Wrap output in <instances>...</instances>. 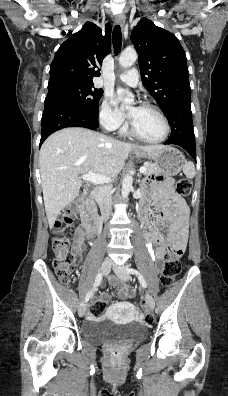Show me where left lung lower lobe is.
Returning a JSON list of instances; mask_svg holds the SVG:
<instances>
[{
  "mask_svg": "<svg viewBox=\"0 0 228 396\" xmlns=\"http://www.w3.org/2000/svg\"><path fill=\"white\" fill-rule=\"evenodd\" d=\"M181 115L176 118L168 113L171 135L164 144H174L183 147L196 161L195 135L192 123L191 102L184 101L178 104Z\"/></svg>",
  "mask_w": 228,
  "mask_h": 396,
  "instance_id": "0a47b994",
  "label": "left lung lower lobe"
}]
</instances>
